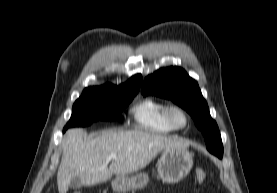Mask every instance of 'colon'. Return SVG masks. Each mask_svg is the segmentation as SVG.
<instances>
[{"label":"colon","instance_id":"1","mask_svg":"<svg viewBox=\"0 0 277 193\" xmlns=\"http://www.w3.org/2000/svg\"><path fill=\"white\" fill-rule=\"evenodd\" d=\"M196 178H197V181L199 183L204 182V180L206 179V173H205V171L202 170V169H197L196 170ZM73 193H80V192H73Z\"/></svg>","mask_w":277,"mask_h":193}]
</instances>
